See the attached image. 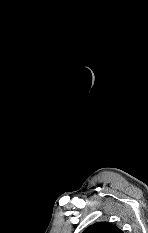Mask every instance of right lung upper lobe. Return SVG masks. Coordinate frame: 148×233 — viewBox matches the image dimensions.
I'll return each instance as SVG.
<instances>
[{
	"label": "right lung upper lobe",
	"mask_w": 148,
	"mask_h": 233,
	"mask_svg": "<svg viewBox=\"0 0 148 233\" xmlns=\"http://www.w3.org/2000/svg\"><path fill=\"white\" fill-rule=\"evenodd\" d=\"M83 233H123L118 227L107 223L97 222L89 226Z\"/></svg>",
	"instance_id": "cb5924a9"
}]
</instances>
